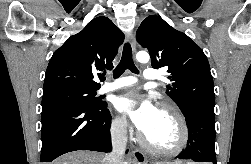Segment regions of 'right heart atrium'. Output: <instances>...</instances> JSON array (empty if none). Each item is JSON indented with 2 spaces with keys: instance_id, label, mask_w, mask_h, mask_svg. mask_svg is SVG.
Returning a JSON list of instances; mask_svg holds the SVG:
<instances>
[{
  "instance_id": "obj_1",
  "label": "right heart atrium",
  "mask_w": 251,
  "mask_h": 164,
  "mask_svg": "<svg viewBox=\"0 0 251 164\" xmlns=\"http://www.w3.org/2000/svg\"><path fill=\"white\" fill-rule=\"evenodd\" d=\"M111 129L116 135H124L127 131V121L122 116H116L112 119Z\"/></svg>"
}]
</instances>
